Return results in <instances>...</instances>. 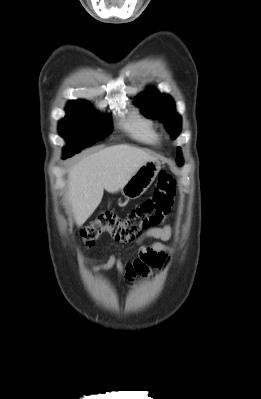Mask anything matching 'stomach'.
<instances>
[{"instance_id": "1", "label": "stomach", "mask_w": 261, "mask_h": 399, "mask_svg": "<svg viewBox=\"0 0 261 399\" xmlns=\"http://www.w3.org/2000/svg\"><path fill=\"white\" fill-rule=\"evenodd\" d=\"M160 168L161 164L158 160L144 163L121 188L124 197L126 199H137L143 195L155 180Z\"/></svg>"}]
</instances>
